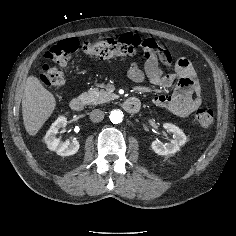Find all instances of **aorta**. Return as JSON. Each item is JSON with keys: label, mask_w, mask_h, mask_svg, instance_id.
<instances>
[{"label": "aorta", "mask_w": 236, "mask_h": 236, "mask_svg": "<svg viewBox=\"0 0 236 236\" xmlns=\"http://www.w3.org/2000/svg\"><path fill=\"white\" fill-rule=\"evenodd\" d=\"M110 120L114 124H119L123 121V113L120 110H113L110 113Z\"/></svg>", "instance_id": "762f6f07"}]
</instances>
